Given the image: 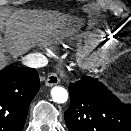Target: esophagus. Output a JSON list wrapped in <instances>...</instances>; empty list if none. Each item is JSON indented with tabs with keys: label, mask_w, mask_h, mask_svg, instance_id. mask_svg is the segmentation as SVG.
I'll return each mask as SVG.
<instances>
[{
	"label": "esophagus",
	"mask_w": 131,
	"mask_h": 131,
	"mask_svg": "<svg viewBox=\"0 0 131 131\" xmlns=\"http://www.w3.org/2000/svg\"><path fill=\"white\" fill-rule=\"evenodd\" d=\"M45 83L47 86L52 87L59 83V78L55 73H51L48 75Z\"/></svg>",
	"instance_id": "obj_1"
}]
</instances>
